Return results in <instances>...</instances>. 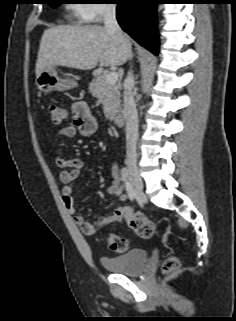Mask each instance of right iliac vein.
Instances as JSON below:
<instances>
[{"label": "right iliac vein", "instance_id": "right-iliac-vein-1", "mask_svg": "<svg viewBox=\"0 0 236 321\" xmlns=\"http://www.w3.org/2000/svg\"><path fill=\"white\" fill-rule=\"evenodd\" d=\"M127 166L136 197L141 201H145L146 197L143 194V181L139 175V170L136 163L133 160H129Z\"/></svg>", "mask_w": 236, "mask_h": 321}]
</instances>
